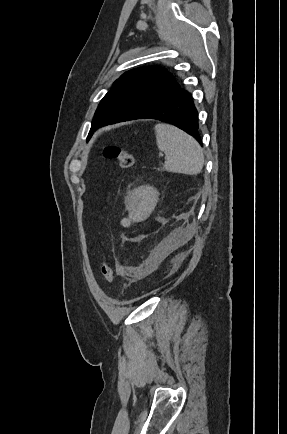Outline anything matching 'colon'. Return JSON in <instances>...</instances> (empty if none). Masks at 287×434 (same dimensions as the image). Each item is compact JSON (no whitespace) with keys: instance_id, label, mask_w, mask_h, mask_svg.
<instances>
[{"instance_id":"5ec220e1","label":"colon","mask_w":287,"mask_h":434,"mask_svg":"<svg viewBox=\"0 0 287 434\" xmlns=\"http://www.w3.org/2000/svg\"><path fill=\"white\" fill-rule=\"evenodd\" d=\"M104 155L107 158L118 161L119 165L123 169L131 168L134 165L133 153L125 148H119L116 146H108L104 149ZM110 200V197H109ZM105 245V242H102ZM101 275L105 282L111 283L113 280V269L108 261H105L101 268Z\"/></svg>"}]
</instances>
